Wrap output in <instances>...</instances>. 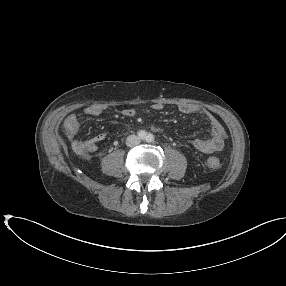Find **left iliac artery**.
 Returning <instances> with one entry per match:
<instances>
[{
    "mask_svg": "<svg viewBox=\"0 0 286 286\" xmlns=\"http://www.w3.org/2000/svg\"><path fill=\"white\" fill-rule=\"evenodd\" d=\"M146 141H147L148 143L153 142V141H154V135L151 134V133H149V134L146 136Z\"/></svg>",
    "mask_w": 286,
    "mask_h": 286,
    "instance_id": "left-iliac-artery-1",
    "label": "left iliac artery"
}]
</instances>
